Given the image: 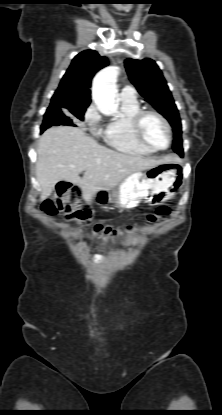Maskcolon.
<instances>
[{"instance_id": "obj_1", "label": "colon", "mask_w": 222, "mask_h": 415, "mask_svg": "<svg viewBox=\"0 0 222 415\" xmlns=\"http://www.w3.org/2000/svg\"><path fill=\"white\" fill-rule=\"evenodd\" d=\"M79 198L80 190L77 186L69 182H60L56 186L54 196L45 202L44 211L51 215L63 213L70 220L88 223L91 212L80 204ZM168 213V209L160 207L155 213L148 215L147 220L152 223L158 218L167 216ZM94 232L106 237H114L118 234L117 229L100 223L94 225Z\"/></svg>"}]
</instances>
